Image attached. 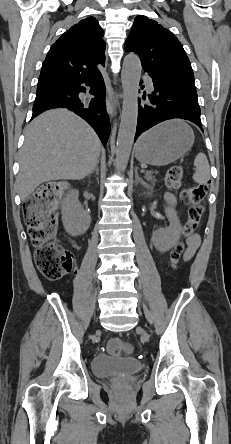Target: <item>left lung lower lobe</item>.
Here are the masks:
<instances>
[{"instance_id": "left-lung-lower-lobe-1", "label": "left lung lower lobe", "mask_w": 231, "mask_h": 444, "mask_svg": "<svg viewBox=\"0 0 231 444\" xmlns=\"http://www.w3.org/2000/svg\"><path fill=\"white\" fill-rule=\"evenodd\" d=\"M149 75L153 87L150 93L144 92L142 97L144 103L140 104L139 100L135 140L152 126L173 118L190 120L203 130L197 93L170 86L161 81L159 76Z\"/></svg>"}]
</instances>
